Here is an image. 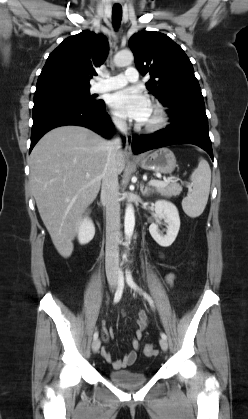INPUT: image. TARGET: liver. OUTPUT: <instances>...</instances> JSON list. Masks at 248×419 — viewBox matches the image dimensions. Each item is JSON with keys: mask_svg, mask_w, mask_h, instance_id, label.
I'll return each instance as SVG.
<instances>
[{"mask_svg": "<svg viewBox=\"0 0 248 419\" xmlns=\"http://www.w3.org/2000/svg\"><path fill=\"white\" fill-rule=\"evenodd\" d=\"M108 141L80 126H62L45 134L30 155V187L41 219L58 253L67 258L79 216L96 198L107 160ZM117 172L125 168L122 151Z\"/></svg>", "mask_w": 248, "mask_h": 419, "instance_id": "liver-1", "label": "liver"}]
</instances>
